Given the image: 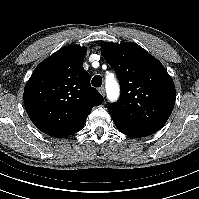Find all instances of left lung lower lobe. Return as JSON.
Returning a JSON list of instances; mask_svg holds the SVG:
<instances>
[{"label": "left lung lower lobe", "instance_id": "0a47b994", "mask_svg": "<svg viewBox=\"0 0 199 199\" xmlns=\"http://www.w3.org/2000/svg\"><path fill=\"white\" fill-rule=\"evenodd\" d=\"M112 119L117 127V129L122 132L125 135H128L130 137H134V138H141V137H145V136H149L151 134L144 132L138 128H135L129 124H127L126 122L115 118L112 116Z\"/></svg>", "mask_w": 199, "mask_h": 199}]
</instances>
